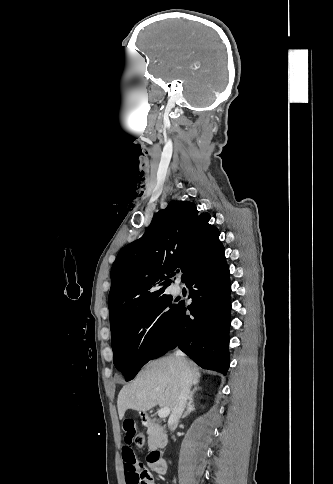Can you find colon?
Here are the masks:
<instances>
[{
	"mask_svg": "<svg viewBox=\"0 0 333 484\" xmlns=\"http://www.w3.org/2000/svg\"><path fill=\"white\" fill-rule=\"evenodd\" d=\"M134 444L138 447H142L145 444V436L143 433H137L134 438Z\"/></svg>",
	"mask_w": 333,
	"mask_h": 484,
	"instance_id": "obj_1",
	"label": "colon"
}]
</instances>
